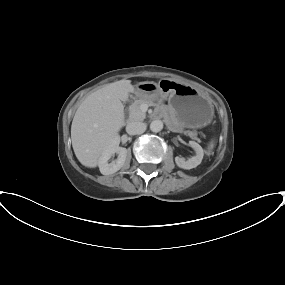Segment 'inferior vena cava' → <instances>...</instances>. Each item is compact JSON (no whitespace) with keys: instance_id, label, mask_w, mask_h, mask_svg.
Listing matches in <instances>:
<instances>
[{"instance_id":"inferior-vena-cava-1","label":"inferior vena cava","mask_w":285,"mask_h":285,"mask_svg":"<svg viewBox=\"0 0 285 285\" xmlns=\"http://www.w3.org/2000/svg\"><path fill=\"white\" fill-rule=\"evenodd\" d=\"M146 130V124L143 122H130L127 126H126V132L129 135H136V134H142L143 132H145Z\"/></svg>"}]
</instances>
